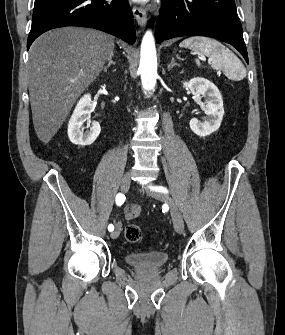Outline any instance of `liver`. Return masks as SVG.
I'll return each instance as SVG.
<instances>
[{
    "label": "liver",
    "mask_w": 285,
    "mask_h": 335,
    "mask_svg": "<svg viewBox=\"0 0 285 335\" xmlns=\"http://www.w3.org/2000/svg\"><path fill=\"white\" fill-rule=\"evenodd\" d=\"M113 50V36L91 28H60L35 40L27 78L32 120L41 142L48 144L55 136Z\"/></svg>",
    "instance_id": "liver-1"
}]
</instances>
